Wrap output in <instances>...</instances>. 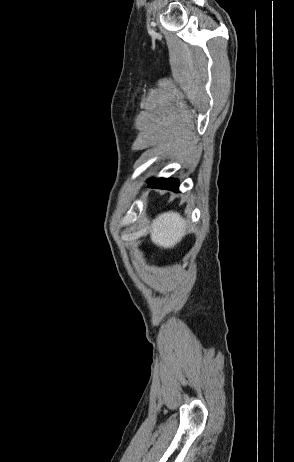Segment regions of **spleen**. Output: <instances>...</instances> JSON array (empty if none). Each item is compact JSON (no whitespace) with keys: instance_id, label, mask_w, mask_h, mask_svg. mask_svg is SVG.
<instances>
[{"instance_id":"3e777b00","label":"spleen","mask_w":294,"mask_h":462,"mask_svg":"<svg viewBox=\"0 0 294 462\" xmlns=\"http://www.w3.org/2000/svg\"><path fill=\"white\" fill-rule=\"evenodd\" d=\"M186 221L177 212L161 214L152 223L151 240L160 247L171 248L182 239Z\"/></svg>"}]
</instances>
